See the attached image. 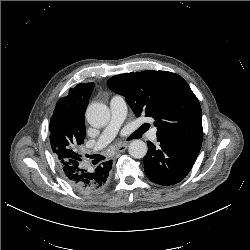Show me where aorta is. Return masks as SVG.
I'll return each mask as SVG.
<instances>
[{
	"instance_id": "aorta-1",
	"label": "aorta",
	"mask_w": 250,
	"mask_h": 250,
	"mask_svg": "<svg viewBox=\"0 0 250 250\" xmlns=\"http://www.w3.org/2000/svg\"><path fill=\"white\" fill-rule=\"evenodd\" d=\"M86 118L89 124L94 127H103L110 120V110L103 103H93L86 111ZM147 144L142 140H134L129 145V154L134 158H143L147 154Z\"/></svg>"
}]
</instances>
